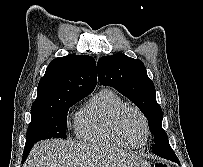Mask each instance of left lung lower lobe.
<instances>
[{
  "instance_id": "obj_1",
  "label": "left lung lower lobe",
  "mask_w": 203,
  "mask_h": 167,
  "mask_svg": "<svg viewBox=\"0 0 203 167\" xmlns=\"http://www.w3.org/2000/svg\"><path fill=\"white\" fill-rule=\"evenodd\" d=\"M152 151L154 154L163 157L165 159L173 160L175 159V153L173 152L171 146L169 145V142H161L159 144H156L152 147Z\"/></svg>"
}]
</instances>
